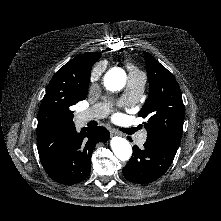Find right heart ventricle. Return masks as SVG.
Segmentation results:
<instances>
[{
	"label": "right heart ventricle",
	"mask_w": 221,
	"mask_h": 221,
	"mask_svg": "<svg viewBox=\"0 0 221 221\" xmlns=\"http://www.w3.org/2000/svg\"><path fill=\"white\" fill-rule=\"evenodd\" d=\"M128 68L130 69L131 73H134V72H138L134 67L132 66H128Z\"/></svg>",
	"instance_id": "1"
}]
</instances>
